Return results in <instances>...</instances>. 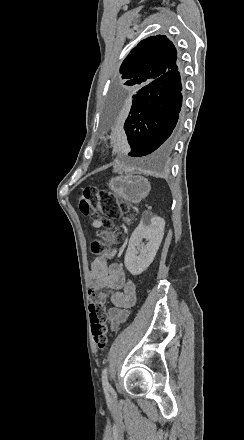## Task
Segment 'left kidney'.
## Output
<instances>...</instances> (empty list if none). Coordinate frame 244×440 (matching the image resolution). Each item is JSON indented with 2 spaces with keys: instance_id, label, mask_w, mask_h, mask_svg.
<instances>
[{
  "instance_id": "1",
  "label": "left kidney",
  "mask_w": 244,
  "mask_h": 440,
  "mask_svg": "<svg viewBox=\"0 0 244 440\" xmlns=\"http://www.w3.org/2000/svg\"><path fill=\"white\" fill-rule=\"evenodd\" d=\"M164 228L163 218L154 216L150 220H141L132 232L124 260L125 268L132 276H139L152 264L163 240ZM143 238L148 240L146 246L142 244Z\"/></svg>"
}]
</instances>
